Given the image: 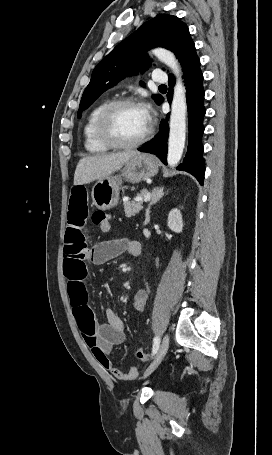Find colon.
Listing matches in <instances>:
<instances>
[{
    "label": "colon",
    "mask_w": 272,
    "mask_h": 455,
    "mask_svg": "<svg viewBox=\"0 0 272 455\" xmlns=\"http://www.w3.org/2000/svg\"><path fill=\"white\" fill-rule=\"evenodd\" d=\"M92 221L94 224H96L99 227L100 231L103 234H106L110 231L111 221H110V215L108 213L103 212V211H96L92 215ZM136 356H137V358H139L143 361L148 360V354L142 348H139L136 350Z\"/></svg>",
    "instance_id": "colon-1"
}]
</instances>
